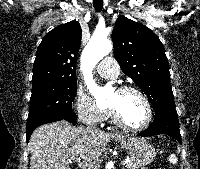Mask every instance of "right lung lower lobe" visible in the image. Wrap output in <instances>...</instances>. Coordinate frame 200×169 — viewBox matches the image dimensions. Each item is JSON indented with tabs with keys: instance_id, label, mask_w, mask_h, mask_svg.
<instances>
[{
	"instance_id": "right-lung-lower-lobe-1",
	"label": "right lung lower lobe",
	"mask_w": 200,
	"mask_h": 169,
	"mask_svg": "<svg viewBox=\"0 0 200 169\" xmlns=\"http://www.w3.org/2000/svg\"><path fill=\"white\" fill-rule=\"evenodd\" d=\"M67 120L70 123H75L77 120V116L74 112L66 115H57V114H49V115H38L28 118L27 120V138L26 141L28 142L32 132L40 125L60 121V120Z\"/></svg>"
}]
</instances>
